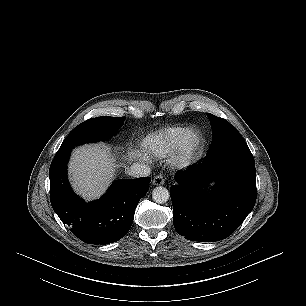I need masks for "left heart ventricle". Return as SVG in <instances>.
<instances>
[{
	"label": "left heart ventricle",
	"instance_id": "b2bd125f",
	"mask_svg": "<svg viewBox=\"0 0 306 306\" xmlns=\"http://www.w3.org/2000/svg\"><path fill=\"white\" fill-rule=\"evenodd\" d=\"M196 140H197V135L196 134H191L190 136H189V138H188V142H189V144H194L195 142H196Z\"/></svg>",
	"mask_w": 306,
	"mask_h": 306
}]
</instances>
